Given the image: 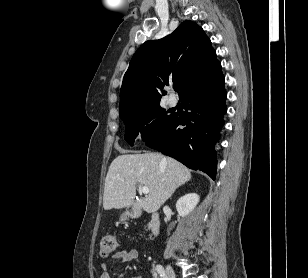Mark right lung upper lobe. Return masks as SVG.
Returning <instances> with one entry per match:
<instances>
[{"mask_svg": "<svg viewBox=\"0 0 308 278\" xmlns=\"http://www.w3.org/2000/svg\"><path fill=\"white\" fill-rule=\"evenodd\" d=\"M220 73L210 39L197 24L185 21L172 34L147 41L135 52L120 90V116L160 103L159 90L169 79L181 85L182 98Z\"/></svg>", "mask_w": 308, "mask_h": 278, "instance_id": "right-lung-upper-lobe-1", "label": "right lung upper lobe"}]
</instances>
